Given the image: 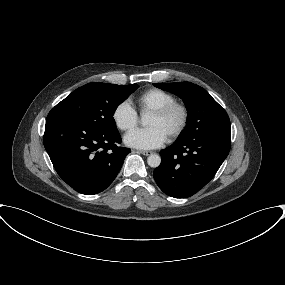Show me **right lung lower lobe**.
Wrapping results in <instances>:
<instances>
[{
	"instance_id": "98d812e1",
	"label": "right lung lower lobe",
	"mask_w": 285,
	"mask_h": 285,
	"mask_svg": "<svg viewBox=\"0 0 285 285\" xmlns=\"http://www.w3.org/2000/svg\"><path fill=\"white\" fill-rule=\"evenodd\" d=\"M43 142L62 180L86 195L105 190L130 153L117 145L118 130L99 131L59 112L48 114Z\"/></svg>"
}]
</instances>
